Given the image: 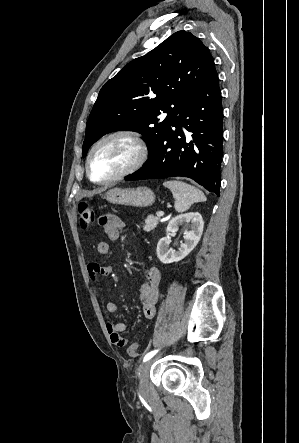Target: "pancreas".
Here are the masks:
<instances>
[{
  "mask_svg": "<svg viewBox=\"0 0 299 443\" xmlns=\"http://www.w3.org/2000/svg\"><path fill=\"white\" fill-rule=\"evenodd\" d=\"M158 223H159V218L154 217L153 215H149L144 221L143 230L145 231L154 230L158 225Z\"/></svg>",
  "mask_w": 299,
  "mask_h": 443,
  "instance_id": "pancreas-1",
  "label": "pancreas"
}]
</instances>
